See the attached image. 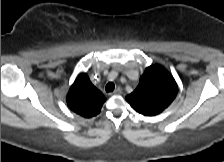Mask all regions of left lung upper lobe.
<instances>
[{"label": "left lung upper lobe", "instance_id": "obj_1", "mask_svg": "<svg viewBox=\"0 0 224 162\" xmlns=\"http://www.w3.org/2000/svg\"><path fill=\"white\" fill-rule=\"evenodd\" d=\"M177 92L173 76L160 65H151L145 69L139 85L126 96V100L138 113L155 116L171 104Z\"/></svg>", "mask_w": 224, "mask_h": 162}]
</instances>
